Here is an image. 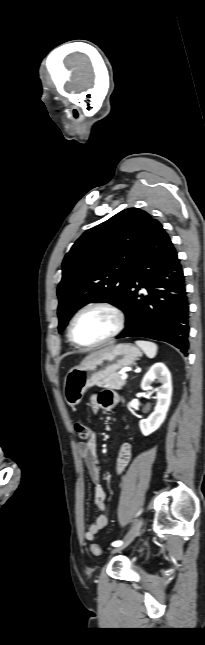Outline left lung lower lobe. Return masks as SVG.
<instances>
[{
  "label": "left lung lower lobe",
  "instance_id": "0a47b994",
  "mask_svg": "<svg viewBox=\"0 0 205 645\" xmlns=\"http://www.w3.org/2000/svg\"><path fill=\"white\" fill-rule=\"evenodd\" d=\"M177 252L162 225L152 219L130 268L121 310L126 328L117 338L140 336L165 341L187 356L189 304ZM141 288L146 293L139 295Z\"/></svg>",
  "mask_w": 205,
  "mask_h": 645
}]
</instances>
